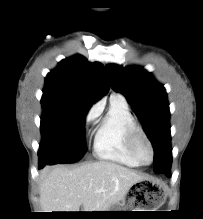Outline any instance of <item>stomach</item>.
Listing matches in <instances>:
<instances>
[{"instance_id":"obj_1","label":"stomach","mask_w":203,"mask_h":219,"mask_svg":"<svg viewBox=\"0 0 203 219\" xmlns=\"http://www.w3.org/2000/svg\"><path fill=\"white\" fill-rule=\"evenodd\" d=\"M135 189L132 196L127 200L124 198L122 203L113 205L107 211H156L165 200V193L160 184L151 180H142L134 184ZM140 209V210H124ZM106 216L112 217L119 215L117 212H109Z\"/></svg>"}]
</instances>
